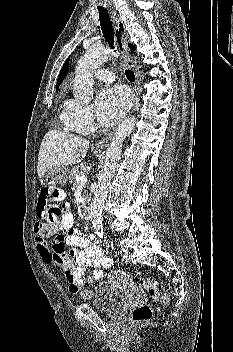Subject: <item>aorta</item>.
<instances>
[{"label": "aorta", "instance_id": "obj_1", "mask_svg": "<svg viewBox=\"0 0 233 352\" xmlns=\"http://www.w3.org/2000/svg\"><path fill=\"white\" fill-rule=\"evenodd\" d=\"M109 49L103 47H91L81 57L76 67V75L73 86L74 97L82 103H89L93 99V73L110 57ZM136 118L125 119L117 128L110 142L104 165L99 172L98 182L91 203L92 226L99 237L103 236L102 210L107 196L108 188L114 177L116 166L121 157V149L126 137L134 130Z\"/></svg>", "mask_w": 233, "mask_h": 352}]
</instances>
